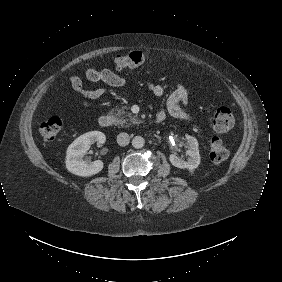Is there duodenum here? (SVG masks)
Returning a JSON list of instances; mask_svg holds the SVG:
<instances>
[{
    "instance_id": "410a0bca",
    "label": "duodenum",
    "mask_w": 282,
    "mask_h": 282,
    "mask_svg": "<svg viewBox=\"0 0 282 282\" xmlns=\"http://www.w3.org/2000/svg\"><path fill=\"white\" fill-rule=\"evenodd\" d=\"M113 117L111 115L108 114H104L99 118V125L103 128H109L112 126L113 124ZM156 123H160L161 119L157 118L155 120Z\"/></svg>"
}]
</instances>
